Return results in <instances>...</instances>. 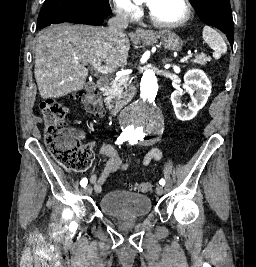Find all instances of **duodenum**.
I'll return each mask as SVG.
<instances>
[{
    "instance_id": "410a0bca",
    "label": "duodenum",
    "mask_w": 256,
    "mask_h": 267,
    "mask_svg": "<svg viewBox=\"0 0 256 267\" xmlns=\"http://www.w3.org/2000/svg\"><path fill=\"white\" fill-rule=\"evenodd\" d=\"M110 84V80L107 77H100L97 80V87L99 90L105 91L108 89ZM128 103L127 99H120L119 101L115 100L113 101L108 109V114L111 116H114L116 114H118L124 107L125 104Z\"/></svg>"
}]
</instances>
